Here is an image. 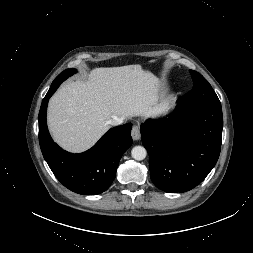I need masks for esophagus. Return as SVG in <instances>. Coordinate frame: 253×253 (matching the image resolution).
Masks as SVG:
<instances>
[{"label":"esophagus","mask_w":253,"mask_h":253,"mask_svg":"<svg viewBox=\"0 0 253 253\" xmlns=\"http://www.w3.org/2000/svg\"><path fill=\"white\" fill-rule=\"evenodd\" d=\"M131 136L133 140H139L141 137L140 133V127L138 125H134L132 130H131Z\"/></svg>","instance_id":"1"}]
</instances>
